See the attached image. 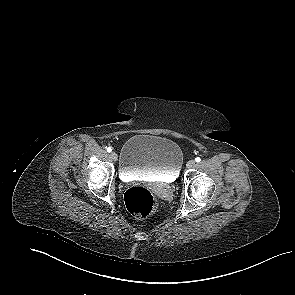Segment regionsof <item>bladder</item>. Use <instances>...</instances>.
<instances>
[{
  "mask_svg": "<svg viewBox=\"0 0 295 295\" xmlns=\"http://www.w3.org/2000/svg\"><path fill=\"white\" fill-rule=\"evenodd\" d=\"M183 164L180 146L167 138L137 134L123 144L119 157L120 174L124 178L138 175L174 181Z\"/></svg>",
  "mask_w": 295,
  "mask_h": 295,
  "instance_id": "bladder-1",
  "label": "bladder"
}]
</instances>
